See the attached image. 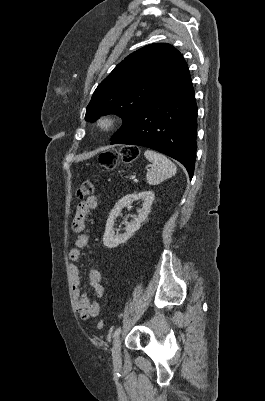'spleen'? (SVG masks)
Wrapping results in <instances>:
<instances>
[{
	"instance_id": "1",
	"label": "spleen",
	"mask_w": 265,
	"mask_h": 401,
	"mask_svg": "<svg viewBox=\"0 0 265 401\" xmlns=\"http://www.w3.org/2000/svg\"><path fill=\"white\" fill-rule=\"evenodd\" d=\"M144 154L152 162L150 170L146 172L148 184H161L166 178L174 176L177 168L167 156L155 150H145Z\"/></svg>"
}]
</instances>
